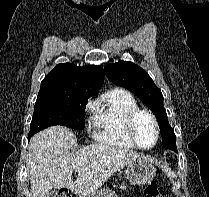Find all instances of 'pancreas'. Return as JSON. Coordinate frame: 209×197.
<instances>
[{"instance_id": "1", "label": "pancreas", "mask_w": 209, "mask_h": 197, "mask_svg": "<svg viewBox=\"0 0 209 197\" xmlns=\"http://www.w3.org/2000/svg\"><path fill=\"white\" fill-rule=\"evenodd\" d=\"M126 187H127V185L124 184V183L121 185V188H122V189H124V188H126Z\"/></svg>"}]
</instances>
